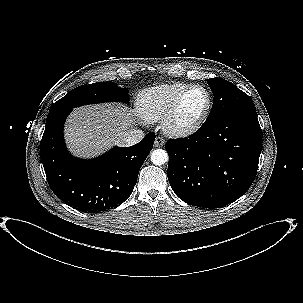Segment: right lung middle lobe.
I'll return each instance as SVG.
<instances>
[{
    "mask_svg": "<svg viewBox=\"0 0 303 303\" xmlns=\"http://www.w3.org/2000/svg\"><path fill=\"white\" fill-rule=\"evenodd\" d=\"M127 93V89L120 88L115 83L110 81L81 85L55 102L51 106L50 111L72 110L74 107L82 105L110 101H121L128 103L129 97Z\"/></svg>",
    "mask_w": 303,
    "mask_h": 303,
    "instance_id": "1",
    "label": "right lung middle lobe"
}]
</instances>
